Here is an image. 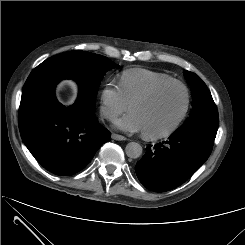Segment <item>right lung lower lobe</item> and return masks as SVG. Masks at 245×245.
<instances>
[{
	"mask_svg": "<svg viewBox=\"0 0 245 245\" xmlns=\"http://www.w3.org/2000/svg\"><path fill=\"white\" fill-rule=\"evenodd\" d=\"M18 124L31 154L45 169L60 176L83 169L110 138L93 111H81L76 104L65 107L56 99L32 114L19 116Z\"/></svg>",
	"mask_w": 245,
	"mask_h": 245,
	"instance_id": "1",
	"label": "right lung lower lobe"
}]
</instances>
